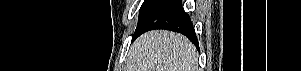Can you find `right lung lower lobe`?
Listing matches in <instances>:
<instances>
[{"label": "right lung lower lobe", "mask_w": 301, "mask_h": 71, "mask_svg": "<svg viewBox=\"0 0 301 71\" xmlns=\"http://www.w3.org/2000/svg\"><path fill=\"white\" fill-rule=\"evenodd\" d=\"M153 29H166L182 33L199 47L193 24L181 6V0H160L137 27L132 41L144 32Z\"/></svg>", "instance_id": "98d812e1"}]
</instances>
